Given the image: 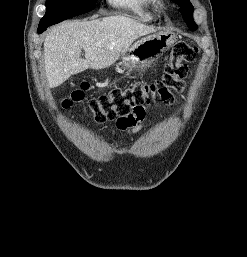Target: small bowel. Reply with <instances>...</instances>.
Segmentation results:
<instances>
[{
    "instance_id": "obj_1",
    "label": "small bowel",
    "mask_w": 247,
    "mask_h": 257,
    "mask_svg": "<svg viewBox=\"0 0 247 257\" xmlns=\"http://www.w3.org/2000/svg\"><path fill=\"white\" fill-rule=\"evenodd\" d=\"M129 123L127 125L116 124V128L120 131H124L127 134H134L138 132L144 125L146 121L145 109L140 111H134L129 117Z\"/></svg>"
}]
</instances>
